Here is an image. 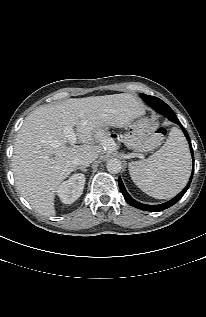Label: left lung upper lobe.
<instances>
[{
  "label": "left lung upper lobe",
  "instance_id": "5c2ea615",
  "mask_svg": "<svg viewBox=\"0 0 206 317\" xmlns=\"http://www.w3.org/2000/svg\"><path fill=\"white\" fill-rule=\"evenodd\" d=\"M141 97L147 104H149L148 101L150 100V101H153V102L160 104L161 106H163L165 108H169L171 110V108L165 102H163L161 99H159L157 97H153V96L146 95V94H141Z\"/></svg>",
  "mask_w": 206,
  "mask_h": 317
}]
</instances>
